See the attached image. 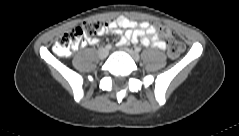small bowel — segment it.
Returning <instances> with one entry per match:
<instances>
[{"mask_svg": "<svg viewBox=\"0 0 239 136\" xmlns=\"http://www.w3.org/2000/svg\"><path fill=\"white\" fill-rule=\"evenodd\" d=\"M106 33H117L120 35V40L117 43L119 47L129 43L135 44L140 42L144 46H151L159 50L166 49V42L161 38L157 27L148 22L137 23L134 20L120 16L105 24L99 36ZM98 42V37H88L85 40V43L89 45H95Z\"/></svg>", "mask_w": 239, "mask_h": 136, "instance_id": "obj_1", "label": "small bowel"}]
</instances>
